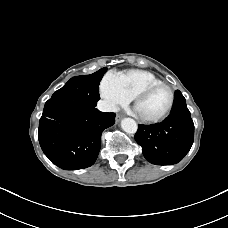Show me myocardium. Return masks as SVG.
Instances as JSON below:
<instances>
[{
	"mask_svg": "<svg viewBox=\"0 0 228 228\" xmlns=\"http://www.w3.org/2000/svg\"><path fill=\"white\" fill-rule=\"evenodd\" d=\"M160 87L167 88L170 92V102H169L168 107L165 109V111L163 113H161L160 115H158L156 117H144V116L140 115L137 112L138 103L143 98H145L149 93H151L153 90L160 88ZM133 102H134V109L136 111V114L141 121H143L145 123H149V124L158 123V122L164 120L172 111L174 103H175V93H174V90L169 85H167L163 82L153 83V84H149V85L145 86L139 92H137L136 95L133 97Z\"/></svg>",
	"mask_w": 228,
	"mask_h": 228,
	"instance_id": "1",
	"label": "myocardium"
}]
</instances>
